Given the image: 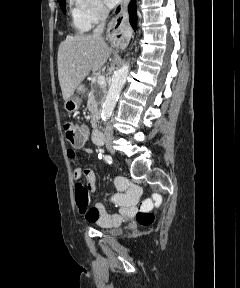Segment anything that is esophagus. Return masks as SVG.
Masks as SVG:
<instances>
[{"label":"esophagus","mask_w":240,"mask_h":288,"mask_svg":"<svg viewBox=\"0 0 240 288\" xmlns=\"http://www.w3.org/2000/svg\"><path fill=\"white\" fill-rule=\"evenodd\" d=\"M130 0H123L121 11L118 13L108 25V37L114 44L119 45L124 40V29L128 19L127 6ZM121 35V37H119Z\"/></svg>","instance_id":"obj_1"}]
</instances>
